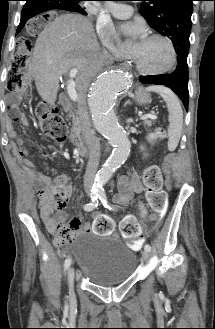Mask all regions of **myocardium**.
<instances>
[{
  "label": "myocardium",
  "mask_w": 215,
  "mask_h": 329,
  "mask_svg": "<svg viewBox=\"0 0 215 329\" xmlns=\"http://www.w3.org/2000/svg\"><path fill=\"white\" fill-rule=\"evenodd\" d=\"M149 38L162 40L168 45V47L170 48V51H171V61H170L169 65L163 69L147 70L144 67H142L139 64V62L137 61V59L135 58V56L133 54H131L130 55L131 62L135 66L137 71H139L141 74L148 75V76H158V75L166 74V73L170 72L171 70H173V68L176 66L177 59H178L177 49H176V46L173 43V41L169 37L162 35V34H153Z\"/></svg>",
  "instance_id": "1"
}]
</instances>
